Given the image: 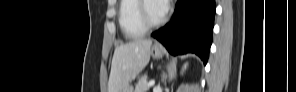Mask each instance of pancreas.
<instances>
[{
    "instance_id": "obj_1",
    "label": "pancreas",
    "mask_w": 296,
    "mask_h": 92,
    "mask_svg": "<svg viewBox=\"0 0 296 92\" xmlns=\"http://www.w3.org/2000/svg\"><path fill=\"white\" fill-rule=\"evenodd\" d=\"M148 90H149V86L147 83V76L144 75L139 79L135 88V92H147Z\"/></svg>"
}]
</instances>
